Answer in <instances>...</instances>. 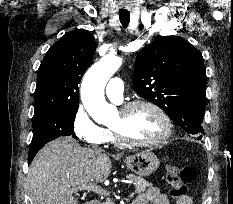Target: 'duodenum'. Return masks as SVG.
Wrapping results in <instances>:
<instances>
[{
  "label": "duodenum",
  "mask_w": 233,
  "mask_h": 204,
  "mask_svg": "<svg viewBox=\"0 0 233 204\" xmlns=\"http://www.w3.org/2000/svg\"><path fill=\"white\" fill-rule=\"evenodd\" d=\"M88 204H99V202L96 200H93V201H90Z\"/></svg>",
  "instance_id": "obj_1"
}]
</instances>
